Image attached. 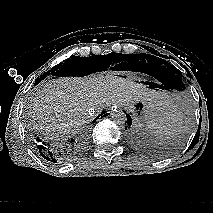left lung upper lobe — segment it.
<instances>
[{
  "label": "left lung upper lobe",
  "instance_id": "obj_1",
  "mask_svg": "<svg viewBox=\"0 0 213 213\" xmlns=\"http://www.w3.org/2000/svg\"><path fill=\"white\" fill-rule=\"evenodd\" d=\"M137 70L149 74L155 78H165L170 81L173 88L178 91L185 89L182 81V73L166 60L150 54H137L135 61Z\"/></svg>",
  "mask_w": 213,
  "mask_h": 213
}]
</instances>
